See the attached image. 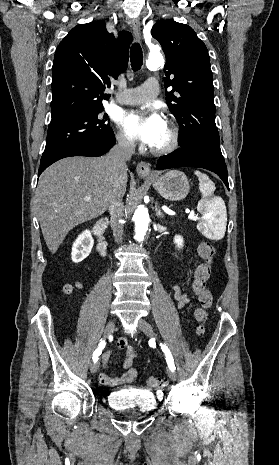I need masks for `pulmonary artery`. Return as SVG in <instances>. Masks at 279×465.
<instances>
[{"label":"pulmonary artery","instance_id":"obj_1","mask_svg":"<svg viewBox=\"0 0 279 465\" xmlns=\"http://www.w3.org/2000/svg\"><path fill=\"white\" fill-rule=\"evenodd\" d=\"M159 92L158 81L149 78L145 83L137 88H131L121 94L116 95V102L120 104H141L152 101Z\"/></svg>","mask_w":279,"mask_h":465}]
</instances>
